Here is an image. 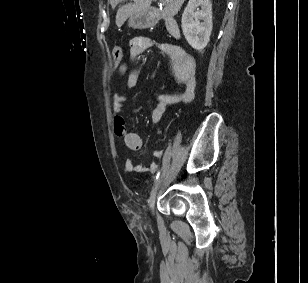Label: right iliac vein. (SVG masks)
I'll return each mask as SVG.
<instances>
[{
  "instance_id": "obj_1",
  "label": "right iliac vein",
  "mask_w": 308,
  "mask_h": 283,
  "mask_svg": "<svg viewBox=\"0 0 308 283\" xmlns=\"http://www.w3.org/2000/svg\"><path fill=\"white\" fill-rule=\"evenodd\" d=\"M161 182H162V176L157 180V182L155 183V186L153 187V189L151 191L150 198H149V201H148L149 202V207L151 209L154 206L155 198H156L157 192H158V190L160 188Z\"/></svg>"
}]
</instances>
